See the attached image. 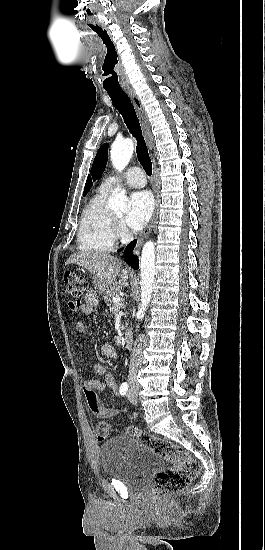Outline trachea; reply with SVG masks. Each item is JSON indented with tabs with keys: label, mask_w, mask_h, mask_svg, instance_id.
<instances>
[{
	"label": "trachea",
	"mask_w": 265,
	"mask_h": 550,
	"mask_svg": "<svg viewBox=\"0 0 265 550\" xmlns=\"http://www.w3.org/2000/svg\"><path fill=\"white\" fill-rule=\"evenodd\" d=\"M114 107L122 115L124 122L132 136L137 141V157L140 164L143 166L147 175L152 174V163L148 154V149L142 135L140 123L136 115L133 104L130 98L123 91H107Z\"/></svg>",
	"instance_id": "1"
}]
</instances>
